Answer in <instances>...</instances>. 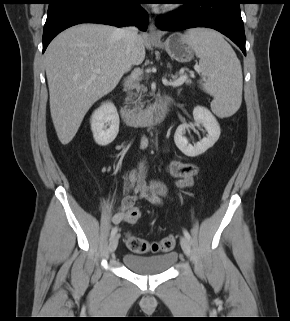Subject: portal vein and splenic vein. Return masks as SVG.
<instances>
[{"label": "portal vein and splenic vein", "instance_id": "18ae733b", "mask_svg": "<svg viewBox=\"0 0 290 321\" xmlns=\"http://www.w3.org/2000/svg\"><path fill=\"white\" fill-rule=\"evenodd\" d=\"M95 73H100L101 72V69H96L94 71ZM188 79V76L187 75H181L178 79H176L175 81L173 82H170L169 85H172V86H180L182 85L185 81H187Z\"/></svg>", "mask_w": 290, "mask_h": 321}]
</instances>
